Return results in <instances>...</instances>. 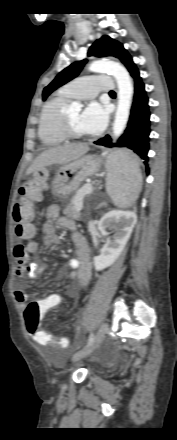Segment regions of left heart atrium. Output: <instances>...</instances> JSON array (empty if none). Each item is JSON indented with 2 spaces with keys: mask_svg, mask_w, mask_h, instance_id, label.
Returning <instances> with one entry per match:
<instances>
[{
  "mask_svg": "<svg viewBox=\"0 0 177 440\" xmlns=\"http://www.w3.org/2000/svg\"><path fill=\"white\" fill-rule=\"evenodd\" d=\"M107 121V108L98 102H91L80 114L79 127L85 134L95 135L103 131Z\"/></svg>",
  "mask_w": 177,
  "mask_h": 440,
  "instance_id": "obj_1",
  "label": "left heart atrium"
}]
</instances>
